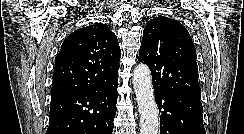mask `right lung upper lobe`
<instances>
[{
  "label": "right lung upper lobe",
  "instance_id": "cb5924a9",
  "mask_svg": "<svg viewBox=\"0 0 244 134\" xmlns=\"http://www.w3.org/2000/svg\"><path fill=\"white\" fill-rule=\"evenodd\" d=\"M120 56L117 37L106 25L96 23L74 31L55 58L51 99L113 82Z\"/></svg>",
  "mask_w": 244,
  "mask_h": 134
}]
</instances>
